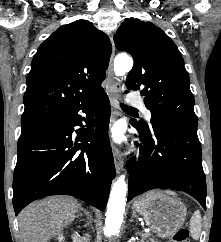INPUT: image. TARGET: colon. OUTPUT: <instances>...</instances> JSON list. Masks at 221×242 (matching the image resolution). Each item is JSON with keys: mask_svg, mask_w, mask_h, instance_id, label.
Returning <instances> with one entry per match:
<instances>
[{"mask_svg": "<svg viewBox=\"0 0 221 242\" xmlns=\"http://www.w3.org/2000/svg\"><path fill=\"white\" fill-rule=\"evenodd\" d=\"M171 242H190L188 231L186 229H179L173 235Z\"/></svg>", "mask_w": 221, "mask_h": 242, "instance_id": "5ec220e1", "label": "colon"}]
</instances>
